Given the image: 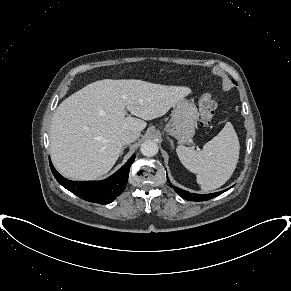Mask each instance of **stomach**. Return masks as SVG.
I'll list each match as a JSON object with an SVG mask.
<instances>
[{
    "label": "stomach",
    "instance_id": "1",
    "mask_svg": "<svg viewBox=\"0 0 291 291\" xmlns=\"http://www.w3.org/2000/svg\"><path fill=\"white\" fill-rule=\"evenodd\" d=\"M199 118L196 105L182 99L173 106L171 119L165 126L166 132L184 143L195 134V126Z\"/></svg>",
    "mask_w": 291,
    "mask_h": 291
}]
</instances>
